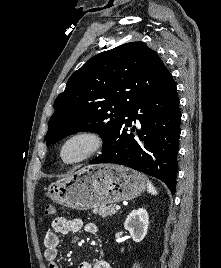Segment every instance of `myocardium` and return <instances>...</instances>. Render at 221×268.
<instances>
[{
  "label": "myocardium",
  "mask_w": 221,
  "mask_h": 268,
  "mask_svg": "<svg viewBox=\"0 0 221 268\" xmlns=\"http://www.w3.org/2000/svg\"><path fill=\"white\" fill-rule=\"evenodd\" d=\"M75 141H82L84 149L72 158H68L65 154L66 148ZM105 140L103 136L91 129L77 130L66 136L58 147V158L65 165H76L82 163L95 155L99 154L104 148Z\"/></svg>",
  "instance_id": "obj_1"
}]
</instances>
